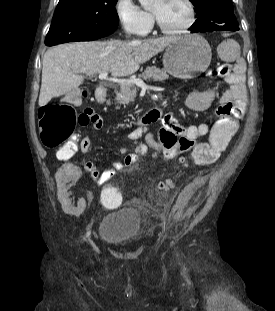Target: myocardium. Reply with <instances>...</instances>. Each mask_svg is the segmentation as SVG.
I'll use <instances>...</instances> for the list:
<instances>
[{"mask_svg":"<svg viewBox=\"0 0 275 311\" xmlns=\"http://www.w3.org/2000/svg\"><path fill=\"white\" fill-rule=\"evenodd\" d=\"M184 3L187 5L188 8V12H189V18L187 20V22L179 27V28H175V29H169L167 27H165L157 18V16L151 12L153 20L157 26V28L159 29V31H161L163 34L166 35H175V34H181L186 32L188 29L191 28V26L194 24L195 19H196V10H195V6L192 0H183Z\"/></svg>","mask_w":275,"mask_h":311,"instance_id":"1","label":"myocardium"}]
</instances>
